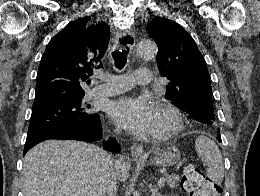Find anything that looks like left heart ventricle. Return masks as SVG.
<instances>
[{
  "label": "left heart ventricle",
  "instance_id": "1",
  "mask_svg": "<svg viewBox=\"0 0 260 196\" xmlns=\"http://www.w3.org/2000/svg\"><path fill=\"white\" fill-rule=\"evenodd\" d=\"M167 118L165 114L155 106V115H154V122L152 126V131L161 127L163 124H165Z\"/></svg>",
  "mask_w": 260,
  "mask_h": 196
}]
</instances>
